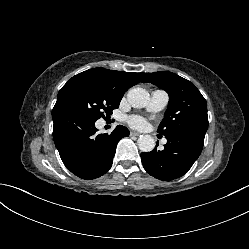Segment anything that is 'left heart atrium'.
Returning a JSON list of instances; mask_svg holds the SVG:
<instances>
[{"label":"left heart atrium","mask_w":249,"mask_h":249,"mask_svg":"<svg viewBox=\"0 0 249 249\" xmlns=\"http://www.w3.org/2000/svg\"><path fill=\"white\" fill-rule=\"evenodd\" d=\"M129 123L133 127H142L146 124V121L141 117L134 116L129 119Z\"/></svg>","instance_id":"1"}]
</instances>
